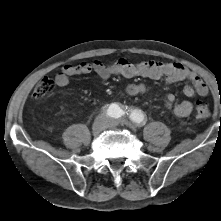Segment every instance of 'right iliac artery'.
Here are the masks:
<instances>
[{"mask_svg":"<svg viewBox=\"0 0 221 221\" xmlns=\"http://www.w3.org/2000/svg\"><path fill=\"white\" fill-rule=\"evenodd\" d=\"M103 113H105L107 116L113 117V118H119L122 115H124V111L122 110V108L118 104H115V103L107 106L104 109Z\"/></svg>","mask_w":221,"mask_h":221,"instance_id":"82829eb1","label":"right iliac artery"}]
</instances>
